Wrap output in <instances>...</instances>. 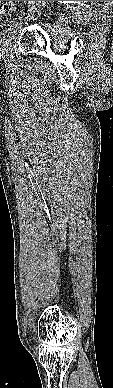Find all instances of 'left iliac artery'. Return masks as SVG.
<instances>
[{"mask_svg":"<svg viewBox=\"0 0 113 388\" xmlns=\"http://www.w3.org/2000/svg\"><path fill=\"white\" fill-rule=\"evenodd\" d=\"M29 19H34V15H32ZM22 21V17L15 18L11 20L8 24V30H11L13 25H17Z\"/></svg>","mask_w":113,"mask_h":388,"instance_id":"1","label":"left iliac artery"}]
</instances>
